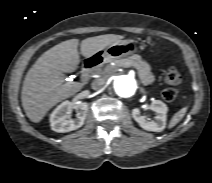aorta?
<instances>
[{
    "instance_id": "1",
    "label": "aorta",
    "mask_w": 212,
    "mask_h": 183,
    "mask_svg": "<svg viewBox=\"0 0 212 183\" xmlns=\"http://www.w3.org/2000/svg\"><path fill=\"white\" fill-rule=\"evenodd\" d=\"M114 89L118 96L129 98L136 93L137 81L130 75H121L114 81Z\"/></svg>"
}]
</instances>
